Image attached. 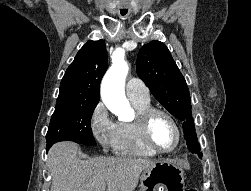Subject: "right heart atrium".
<instances>
[{"label": "right heart atrium", "mask_w": 251, "mask_h": 191, "mask_svg": "<svg viewBox=\"0 0 251 191\" xmlns=\"http://www.w3.org/2000/svg\"><path fill=\"white\" fill-rule=\"evenodd\" d=\"M92 138L105 152L115 150L118 142V124L111 117L103 101L93 107L89 115Z\"/></svg>", "instance_id": "d8ad5b80"}]
</instances>
